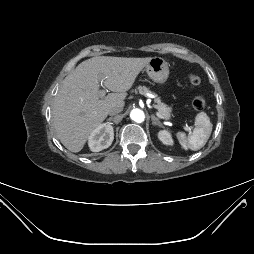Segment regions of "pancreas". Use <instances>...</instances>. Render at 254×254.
Returning a JSON list of instances; mask_svg holds the SVG:
<instances>
[{"instance_id": "obj_1", "label": "pancreas", "mask_w": 254, "mask_h": 254, "mask_svg": "<svg viewBox=\"0 0 254 254\" xmlns=\"http://www.w3.org/2000/svg\"><path fill=\"white\" fill-rule=\"evenodd\" d=\"M133 92H135V93L139 92L140 94H146L150 91L145 86H139ZM155 102L157 103L156 108H157L158 112L160 114H162L166 119H169L172 109L170 107H168L167 105L163 104L159 98H156Z\"/></svg>"}]
</instances>
